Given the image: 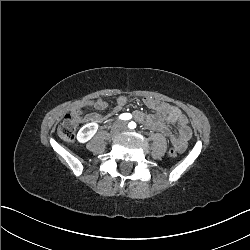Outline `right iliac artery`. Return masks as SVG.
<instances>
[{
  "mask_svg": "<svg viewBox=\"0 0 250 250\" xmlns=\"http://www.w3.org/2000/svg\"><path fill=\"white\" fill-rule=\"evenodd\" d=\"M119 118L122 120H129L132 118V115L130 113H123L119 116Z\"/></svg>",
  "mask_w": 250,
  "mask_h": 250,
  "instance_id": "obj_1",
  "label": "right iliac artery"
}]
</instances>
